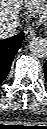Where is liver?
Listing matches in <instances>:
<instances>
[{
	"instance_id": "liver-1",
	"label": "liver",
	"mask_w": 47,
	"mask_h": 129,
	"mask_svg": "<svg viewBox=\"0 0 47 129\" xmlns=\"http://www.w3.org/2000/svg\"><path fill=\"white\" fill-rule=\"evenodd\" d=\"M38 0H0V27L13 20H18L24 7L33 8Z\"/></svg>"
}]
</instances>
